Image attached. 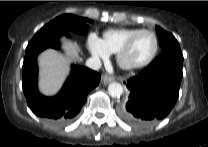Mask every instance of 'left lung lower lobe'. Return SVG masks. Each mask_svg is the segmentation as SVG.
Listing matches in <instances>:
<instances>
[{
  "label": "left lung lower lobe",
  "instance_id": "left-lung-lower-lobe-1",
  "mask_svg": "<svg viewBox=\"0 0 208 147\" xmlns=\"http://www.w3.org/2000/svg\"><path fill=\"white\" fill-rule=\"evenodd\" d=\"M182 64L183 57L162 53L138 76L130 78L129 100L120 107V117L136 127H146L165 118L179 96Z\"/></svg>",
  "mask_w": 208,
  "mask_h": 147
}]
</instances>
